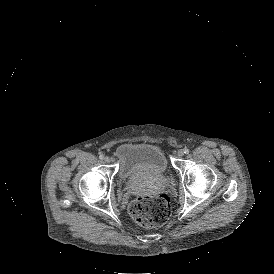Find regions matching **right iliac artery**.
<instances>
[{
    "label": "right iliac artery",
    "instance_id": "1",
    "mask_svg": "<svg viewBox=\"0 0 274 274\" xmlns=\"http://www.w3.org/2000/svg\"><path fill=\"white\" fill-rule=\"evenodd\" d=\"M99 158L102 160L104 159V155L103 154H100Z\"/></svg>",
    "mask_w": 274,
    "mask_h": 274
}]
</instances>
